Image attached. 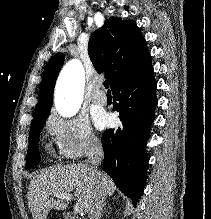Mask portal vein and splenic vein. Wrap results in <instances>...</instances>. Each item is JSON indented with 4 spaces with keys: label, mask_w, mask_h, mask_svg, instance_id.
I'll return each mask as SVG.
<instances>
[{
    "label": "portal vein and splenic vein",
    "mask_w": 211,
    "mask_h": 219,
    "mask_svg": "<svg viewBox=\"0 0 211 219\" xmlns=\"http://www.w3.org/2000/svg\"><path fill=\"white\" fill-rule=\"evenodd\" d=\"M54 197H57V198L63 199V200H67V201H71L73 199V196L69 193H57V194H54ZM74 210L76 213H79L82 211V208L79 206V204H76L74 206Z\"/></svg>",
    "instance_id": "18ae733b"
}]
</instances>
